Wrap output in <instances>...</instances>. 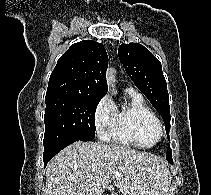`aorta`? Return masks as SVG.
<instances>
[{
	"instance_id": "obj_1",
	"label": "aorta",
	"mask_w": 211,
	"mask_h": 195,
	"mask_svg": "<svg viewBox=\"0 0 211 195\" xmlns=\"http://www.w3.org/2000/svg\"><path fill=\"white\" fill-rule=\"evenodd\" d=\"M115 71L113 69H108L106 73V80H107V85L109 88H112V94H116V91L114 89V82H115Z\"/></svg>"
}]
</instances>
